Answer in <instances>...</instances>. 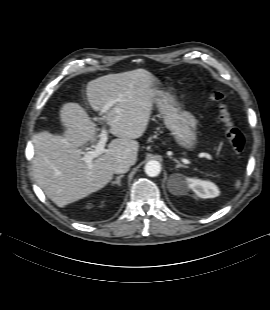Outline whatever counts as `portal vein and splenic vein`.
Masks as SVG:
<instances>
[{"label": "portal vein and splenic vein", "instance_id": "18ae733b", "mask_svg": "<svg viewBox=\"0 0 270 310\" xmlns=\"http://www.w3.org/2000/svg\"><path fill=\"white\" fill-rule=\"evenodd\" d=\"M109 107H110V105H106L105 107H103V109L100 111V115L105 113ZM94 119L98 120V121H100V123H102L101 117L100 118H94ZM107 140H108L107 130L103 127V129L101 130V133H100V139L98 140V142L95 145V149L84 153L83 159L88 164L89 168H92V160L105 152V145H106ZM200 155H201V157H205L208 160H212V156L208 153H201Z\"/></svg>", "mask_w": 270, "mask_h": 310}]
</instances>
